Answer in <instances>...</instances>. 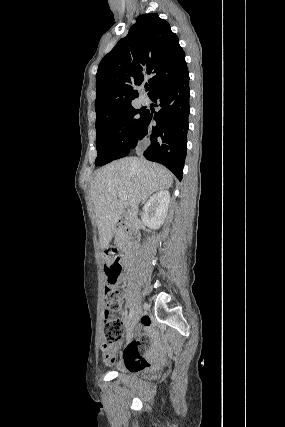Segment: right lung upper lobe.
Instances as JSON below:
<instances>
[{
	"label": "right lung upper lobe",
	"instance_id": "obj_1",
	"mask_svg": "<svg viewBox=\"0 0 285 427\" xmlns=\"http://www.w3.org/2000/svg\"><path fill=\"white\" fill-rule=\"evenodd\" d=\"M187 71L185 54L170 25L156 13L136 23L101 60L96 74V125L127 108L138 97L137 85L148 79L151 96Z\"/></svg>",
	"mask_w": 285,
	"mask_h": 427
}]
</instances>
